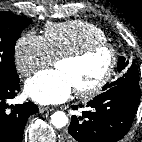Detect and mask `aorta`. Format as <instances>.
<instances>
[{
    "label": "aorta",
    "instance_id": "obj_1",
    "mask_svg": "<svg viewBox=\"0 0 142 142\" xmlns=\"http://www.w3.org/2000/svg\"><path fill=\"white\" fill-rule=\"evenodd\" d=\"M51 122H52L53 126H55L56 128H63L68 123V117L64 112L57 111L52 114Z\"/></svg>",
    "mask_w": 142,
    "mask_h": 142
}]
</instances>
